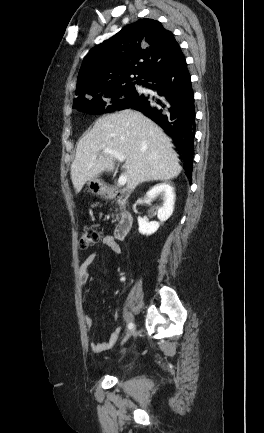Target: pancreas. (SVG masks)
I'll return each instance as SVG.
<instances>
[{"mask_svg": "<svg viewBox=\"0 0 264 433\" xmlns=\"http://www.w3.org/2000/svg\"><path fill=\"white\" fill-rule=\"evenodd\" d=\"M118 209H116V211H117ZM114 215H112V217H113ZM119 219V216L118 215H116V217H115V219L113 220V221H117Z\"/></svg>", "mask_w": 264, "mask_h": 433, "instance_id": "1", "label": "pancreas"}]
</instances>
